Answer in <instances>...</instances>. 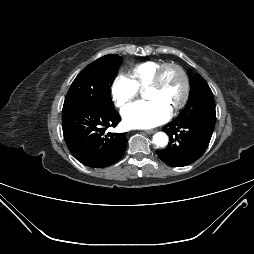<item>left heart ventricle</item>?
Here are the masks:
<instances>
[{
    "instance_id": "obj_1",
    "label": "left heart ventricle",
    "mask_w": 254,
    "mask_h": 254,
    "mask_svg": "<svg viewBox=\"0 0 254 254\" xmlns=\"http://www.w3.org/2000/svg\"><path fill=\"white\" fill-rule=\"evenodd\" d=\"M183 83L180 74L174 69L165 71L161 85L147 90L146 98L156 100L170 111L181 97Z\"/></svg>"
}]
</instances>
